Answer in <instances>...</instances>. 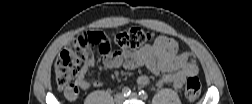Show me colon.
<instances>
[{
	"label": "colon",
	"instance_id": "1",
	"mask_svg": "<svg viewBox=\"0 0 252 104\" xmlns=\"http://www.w3.org/2000/svg\"><path fill=\"white\" fill-rule=\"evenodd\" d=\"M150 34L140 27L120 30L111 41L100 31L81 34L61 51L55 63V79L58 88L67 98L75 99L80 93V81L84 77L83 61L93 58L94 50L106 58L112 51L113 44L124 50H135L150 40ZM185 96L189 101L198 99L201 91L200 80L191 76L185 84Z\"/></svg>",
	"mask_w": 252,
	"mask_h": 104
}]
</instances>
